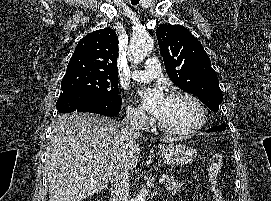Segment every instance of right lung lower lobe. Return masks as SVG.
Wrapping results in <instances>:
<instances>
[{"label": "right lung lower lobe", "mask_w": 271, "mask_h": 201, "mask_svg": "<svg viewBox=\"0 0 271 201\" xmlns=\"http://www.w3.org/2000/svg\"><path fill=\"white\" fill-rule=\"evenodd\" d=\"M122 100L118 96L115 99H93L78 95L60 96L56 102L59 113L90 112L106 116H116L121 110Z\"/></svg>", "instance_id": "98d812e1"}]
</instances>
